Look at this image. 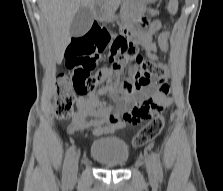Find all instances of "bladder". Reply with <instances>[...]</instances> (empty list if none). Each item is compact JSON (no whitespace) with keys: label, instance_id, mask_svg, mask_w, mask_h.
I'll return each instance as SVG.
<instances>
[{"label":"bladder","instance_id":"bladder-1","mask_svg":"<svg viewBox=\"0 0 223 191\" xmlns=\"http://www.w3.org/2000/svg\"><path fill=\"white\" fill-rule=\"evenodd\" d=\"M91 157L105 167H122L128 162L129 147L118 137L99 138L91 145Z\"/></svg>","mask_w":223,"mask_h":191}]
</instances>
